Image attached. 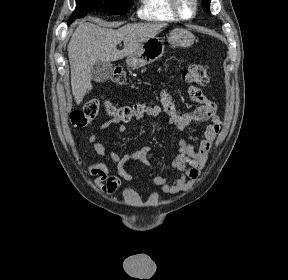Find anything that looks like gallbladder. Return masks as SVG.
Returning a JSON list of instances; mask_svg holds the SVG:
<instances>
[{
    "instance_id": "1",
    "label": "gallbladder",
    "mask_w": 288,
    "mask_h": 280,
    "mask_svg": "<svg viewBox=\"0 0 288 280\" xmlns=\"http://www.w3.org/2000/svg\"><path fill=\"white\" fill-rule=\"evenodd\" d=\"M112 64L110 62L99 60L91 69V77L95 82H105L112 74Z\"/></svg>"
}]
</instances>
